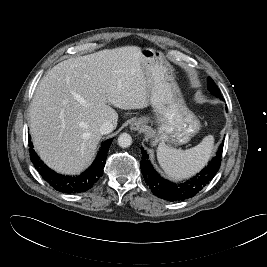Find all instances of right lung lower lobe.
<instances>
[{
  "instance_id": "right-lung-lower-lobe-1",
  "label": "right lung lower lobe",
  "mask_w": 267,
  "mask_h": 267,
  "mask_svg": "<svg viewBox=\"0 0 267 267\" xmlns=\"http://www.w3.org/2000/svg\"><path fill=\"white\" fill-rule=\"evenodd\" d=\"M113 139L106 140L102 143L101 149L97 154L93 164L81 175L66 176L57 174L49 169L39 160V157L33 150V145L30 144V158L35 168L38 170L43 179L57 191L63 193H80L90 189L95 182L103 175V169L106 162L108 148ZM31 143V141L29 140Z\"/></svg>"
}]
</instances>
